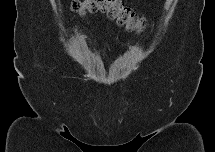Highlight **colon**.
Returning a JSON list of instances; mask_svg holds the SVG:
<instances>
[{"label": "colon", "mask_w": 215, "mask_h": 152, "mask_svg": "<svg viewBox=\"0 0 215 152\" xmlns=\"http://www.w3.org/2000/svg\"><path fill=\"white\" fill-rule=\"evenodd\" d=\"M73 11L83 14L89 12H103L115 19L119 25L125 26L131 31H142L146 26V20L138 16L118 0H79L71 5Z\"/></svg>", "instance_id": "1"}]
</instances>
